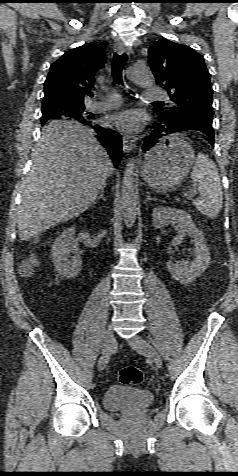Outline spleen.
Returning <instances> with one entry per match:
<instances>
[{
  "mask_svg": "<svg viewBox=\"0 0 238 476\" xmlns=\"http://www.w3.org/2000/svg\"><path fill=\"white\" fill-rule=\"evenodd\" d=\"M191 178L200 192L194 205L202 214L217 217L222 209L223 192L218 169L209 156L201 152L197 154Z\"/></svg>",
  "mask_w": 238,
  "mask_h": 476,
  "instance_id": "spleen-1",
  "label": "spleen"
}]
</instances>
